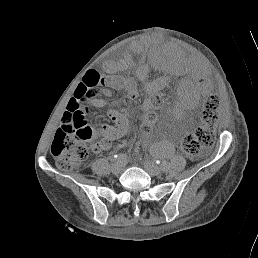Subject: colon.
I'll return each instance as SVG.
<instances>
[{
  "label": "colon",
  "mask_w": 258,
  "mask_h": 258,
  "mask_svg": "<svg viewBox=\"0 0 258 258\" xmlns=\"http://www.w3.org/2000/svg\"><path fill=\"white\" fill-rule=\"evenodd\" d=\"M102 78L99 72L88 71L83 83L76 89L74 98L68 103L67 112L51 145V153L62 170H72L80 166L97 146L100 130L88 123L80 105L95 92ZM218 105L216 96H209L205 100L201 116L205 126L186 136L181 143V150L186 155L198 157L214 144L215 133L212 125L217 121ZM139 123L141 131H148L154 123V117L151 114L144 115Z\"/></svg>",
  "instance_id": "obj_1"
}]
</instances>
